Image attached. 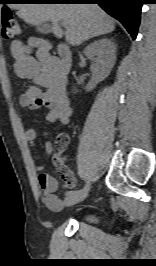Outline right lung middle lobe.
<instances>
[{
  "instance_id": "obj_1",
  "label": "right lung middle lobe",
  "mask_w": 156,
  "mask_h": 266,
  "mask_svg": "<svg viewBox=\"0 0 156 266\" xmlns=\"http://www.w3.org/2000/svg\"><path fill=\"white\" fill-rule=\"evenodd\" d=\"M4 0H1L0 2H3ZM22 2H26V1H28V0H21Z\"/></svg>"
}]
</instances>
